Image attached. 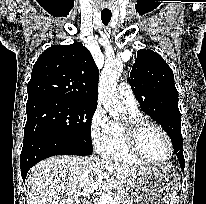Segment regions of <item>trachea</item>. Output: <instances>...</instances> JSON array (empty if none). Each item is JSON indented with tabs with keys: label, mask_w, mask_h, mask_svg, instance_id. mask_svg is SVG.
<instances>
[{
	"label": "trachea",
	"mask_w": 206,
	"mask_h": 204,
	"mask_svg": "<svg viewBox=\"0 0 206 204\" xmlns=\"http://www.w3.org/2000/svg\"><path fill=\"white\" fill-rule=\"evenodd\" d=\"M111 13L109 12H101V19L104 25H108L111 20Z\"/></svg>",
	"instance_id": "trachea-1"
}]
</instances>
